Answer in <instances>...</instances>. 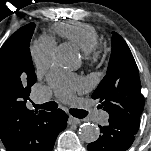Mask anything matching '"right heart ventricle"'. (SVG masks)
<instances>
[{"mask_svg":"<svg viewBox=\"0 0 151 151\" xmlns=\"http://www.w3.org/2000/svg\"><path fill=\"white\" fill-rule=\"evenodd\" d=\"M54 35L76 44L83 52L98 46L99 39L96 30L89 24L81 22H61L52 26Z\"/></svg>","mask_w":151,"mask_h":151,"instance_id":"e07e8e85","label":"right heart ventricle"}]
</instances>
